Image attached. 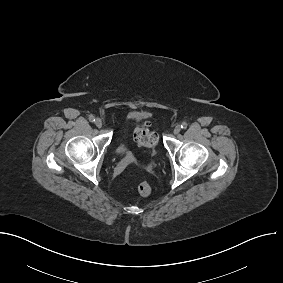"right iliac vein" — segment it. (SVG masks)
<instances>
[{"mask_svg": "<svg viewBox=\"0 0 283 283\" xmlns=\"http://www.w3.org/2000/svg\"><path fill=\"white\" fill-rule=\"evenodd\" d=\"M95 125H96L98 128H101L102 125H103L102 120H101L100 118H97V119L95 120Z\"/></svg>", "mask_w": 283, "mask_h": 283, "instance_id": "63e3f726", "label": "right iliac vein"}]
</instances>
